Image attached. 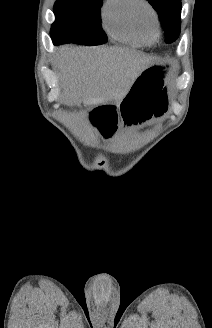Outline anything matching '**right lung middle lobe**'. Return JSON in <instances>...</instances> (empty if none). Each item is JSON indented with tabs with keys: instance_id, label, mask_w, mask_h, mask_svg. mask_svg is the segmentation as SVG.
Masks as SVG:
<instances>
[{
	"instance_id": "1",
	"label": "right lung middle lobe",
	"mask_w": 212,
	"mask_h": 328,
	"mask_svg": "<svg viewBox=\"0 0 212 328\" xmlns=\"http://www.w3.org/2000/svg\"><path fill=\"white\" fill-rule=\"evenodd\" d=\"M103 0H57L56 20L51 27L54 44L100 45L107 42L102 30L100 7Z\"/></svg>"
}]
</instances>
